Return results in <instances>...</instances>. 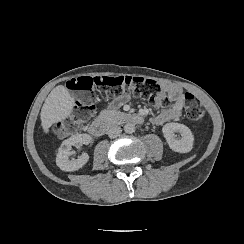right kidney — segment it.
<instances>
[{
    "mask_svg": "<svg viewBox=\"0 0 244 244\" xmlns=\"http://www.w3.org/2000/svg\"><path fill=\"white\" fill-rule=\"evenodd\" d=\"M91 142L89 134H76L64 140L56 156V164L63 171H76L89 160L87 153H82L77 159L70 160L72 146L88 145Z\"/></svg>",
    "mask_w": 244,
    "mask_h": 244,
    "instance_id": "right-kidney-1",
    "label": "right kidney"
}]
</instances>
